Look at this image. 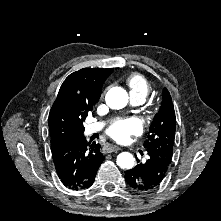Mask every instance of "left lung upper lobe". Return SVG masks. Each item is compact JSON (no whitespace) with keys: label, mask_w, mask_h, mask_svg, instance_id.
<instances>
[{"label":"left lung upper lobe","mask_w":221,"mask_h":221,"mask_svg":"<svg viewBox=\"0 0 221 221\" xmlns=\"http://www.w3.org/2000/svg\"><path fill=\"white\" fill-rule=\"evenodd\" d=\"M176 130V117L172 98L167 89L163 90V100L159 112L150 126L148 140L144 143L147 151L163 150L172 156Z\"/></svg>","instance_id":"obj_1"}]
</instances>
